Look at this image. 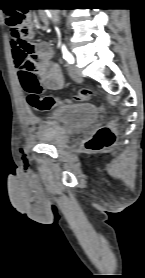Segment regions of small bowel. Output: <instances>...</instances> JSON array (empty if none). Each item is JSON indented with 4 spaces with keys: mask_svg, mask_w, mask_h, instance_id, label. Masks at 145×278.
<instances>
[{
    "mask_svg": "<svg viewBox=\"0 0 145 278\" xmlns=\"http://www.w3.org/2000/svg\"><path fill=\"white\" fill-rule=\"evenodd\" d=\"M42 18L44 19L45 16L42 15ZM11 52L21 83L24 75L33 73L37 69L47 89L58 90L63 86L64 78L60 66L50 61L51 50L47 44H39L35 55H32L31 52L23 51L20 47V39L14 37L11 41ZM30 121L36 123L38 119L31 115Z\"/></svg>",
    "mask_w": 145,
    "mask_h": 278,
    "instance_id": "obj_1",
    "label": "small bowel"
}]
</instances>
